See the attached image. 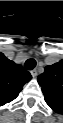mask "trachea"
I'll return each mask as SVG.
<instances>
[{"label": "trachea", "mask_w": 63, "mask_h": 123, "mask_svg": "<svg viewBox=\"0 0 63 123\" xmlns=\"http://www.w3.org/2000/svg\"><path fill=\"white\" fill-rule=\"evenodd\" d=\"M35 66H36V61H35V59H33V58L27 59V60L25 61V63H24V67H25L27 70H32V69L35 68Z\"/></svg>", "instance_id": "trachea-1"}]
</instances>
